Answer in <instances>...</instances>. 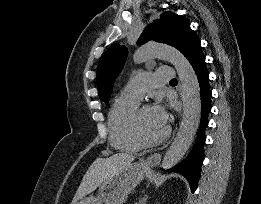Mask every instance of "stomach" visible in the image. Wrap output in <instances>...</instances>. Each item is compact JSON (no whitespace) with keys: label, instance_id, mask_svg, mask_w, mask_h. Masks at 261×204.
<instances>
[{"label":"stomach","instance_id":"obj_1","mask_svg":"<svg viewBox=\"0 0 261 204\" xmlns=\"http://www.w3.org/2000/svg\"><path fill=\"white\" fill-rule=\"evenodd\" d=\"M146 169L141 162L131 163L105 180L97 196L89 195L76 204H123L129 193L144 179Z\"/></svg>","mask_w":261,"mask_h":204}]
</instances>
